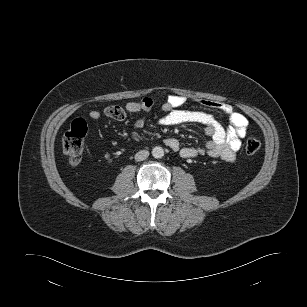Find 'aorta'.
Masks as SVG:
<instances>
[{
	"instance_id": "1",
	"label": "aorta",
	"mask_w": 307,
	"mask_h": 307,
	"mask_svg": "<svg viewBox=\"0 0 307 307\" xmlns=\"http://www.w3.org/2000/svg\"><path fill=\"white\" fill-rule=\"evenodd\" d=\"M152 155L154 158H162L164 156V150L160 146H156L152 149Z\"/></svg>"
}]
</instances>
